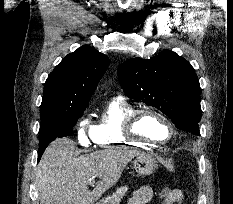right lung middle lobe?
Instances as JSON below:
<instances>
[{
    "instance_id": "dd1d6c3e",
    "label": "right lung middle lobe",
    "mask_w": 233,
    "mask_h": 204,
    "mask_svg": "<svg viewBox=\"0 0 233 204\" xmlns=\"http://www.w3.org/2000/svg\"><path fill=\"white\" fill-rule=\"evenodd\" d=\"M84 110L72 111L67 114L41 118L40 146L49 145L56 138L68 136Z\"/></svg>"
}]
</instances>
